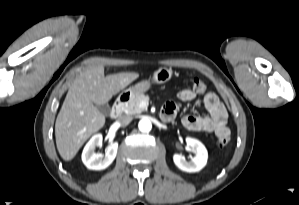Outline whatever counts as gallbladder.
I'll return each instance as SVG.
<instances>
[{
	"label": "gallbladder",
	"mask_w": 299,
	"mask_h": 205,
	"mask_svg": "<svg viewBox=\"0 0 299 205\" xmlns=\"http://www.w3.org/2000/svg\"><path fill=\"white\" fill-rule=\"evenodd\" d=\"M96 107L104 115H109L111 112V108L108 104L96 105Z\"/></svg>",
	"instance_id": "obj_1"
}]
</instances>
